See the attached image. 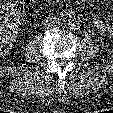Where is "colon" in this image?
I'll return each mask as SVG.
<instances>
[{"label":"colon","mask_w":113,"mask_h":113,"mask_svg":"<svg viewBox=\"0 0 113 113\" xmlns=\"http://www.w3.org/2000/svg\"><path fill=\"white\" fill-rule=\"evenodd\" d=\"M28 1L31 0H0V52L10 45L22 5Z\"/></svg>","instance_id":"colon-1"}]
</instances>
